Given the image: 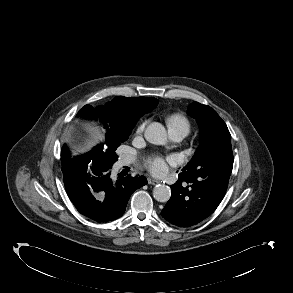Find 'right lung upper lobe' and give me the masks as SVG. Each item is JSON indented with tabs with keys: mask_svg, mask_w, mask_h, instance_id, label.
<instances>
[{
	"mask_svg": "<svg viewBox=\"0 0 293 293\" xmlns=\"http://www.w3.org/2000/svg\"><path fill=\"white\" fill-rule=\"evenodd\" d=\"M157 104L158 100L156 98H127L123 96H117L112 101L107 102L105 106H99L96 109L90 105H85L79 111L78 115L87 118H101L105 124L108 123L109 125L106 124L105 126L108 131L106 134L107 142L112 135L131 131L139 118L142 117L145 113L154 109ZM101 147H103V144L95 146L92 151L83 157L77 156L74 157V159H71V155L68 149L64 146L61 151L63 175L73 171L74 167L81 163L83 158L88 156H96L97 151ZM105 149H103V151H105Z\"/></svg>",
	"mask_w": 293,
	"mask_h": 293,
	"instance_id": "right-lung-upper-lobe-1",
	"label": "right lung upper lobe"
}]
</instances>
